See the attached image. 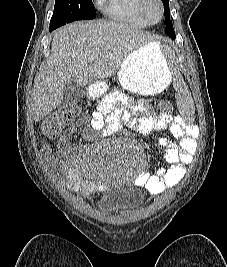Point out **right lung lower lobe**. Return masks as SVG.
I'll return each mask as SVG.
<instances>
[{
	"label": "right lung lower lobe",
	"mask_w": 227,
	"mask_h": 267,
	"mask_svg": "<svg viewBox=\"0 0 227 267\" xmlns=\"http://www.w3.org/2000/svg\"><path fill=\"white\" fill-rule=\"evenodd\" d=\"M54 30L53 28H50V31Z\"/></svg>",
	"instance_id": "1"
}]
</instances>
